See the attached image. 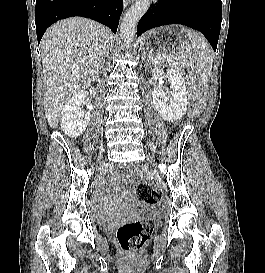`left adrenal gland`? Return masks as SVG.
I'll return each mask as SVG.
<instances>
[{"mask_svg": "<svg viewBox=\"0 0 265 273\" xmlns=\"http://www.w3.org/2000/svg\"><path fill=\"white\" fill-rule=\"evenodd\" d=\"M146 57L145 53L142 55V59H144ZM148 63H150V58L147 60Z\"/></svg>", "mask_w": 265, "mask_h": 273, "instance_id": "a2214340", "label": "left adrenal gland"}]
</instances>
